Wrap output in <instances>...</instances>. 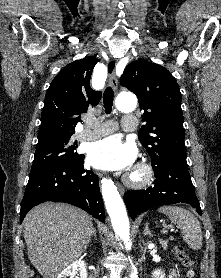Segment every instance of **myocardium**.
Here are the masks:
<instances>
[{"mask_svg":"<svg viewBox=\"0 0 221 278\" xmlns=\"http://www.w3.org/2000/svg\"><path fill=\"white\" fill-rule=\"evenodd\" d=\"M154 171L150 164L146 162L138 163L126 176V183L133 188H143L153 180Z\"/></svg>","mask_w":221,"mask_h":278,"instance_id":"1","label":"myocardium"}]
</instances>
